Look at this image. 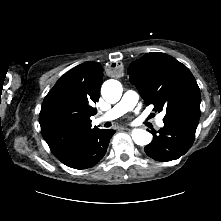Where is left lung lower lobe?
<instances>
[{"label": "left lung lower lobe", "mask_w": 221, "mask_h": 221, "mask_svg": "<svg viewBox=\"0 0 221 221\" xmlns=\"http://www.w3.org/2000/svg\"><path fill=\"white\" fill-rule=\"evenodd\" d=\"M199 119L164 121V127L152 131L153 141L145 146L146 154L157 161L178 159L191 148Z\"/></svg>", "instance_id": "0a47b994"}]
</instances>
